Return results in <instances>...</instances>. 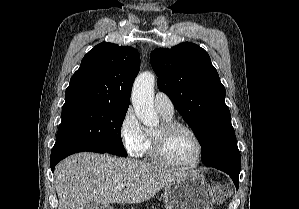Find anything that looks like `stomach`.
<instances>
[{"label": "stomach", "instance_id": "obj_1", "mask_svg": "<svg viewBox=\"0 0 299 209\" xmlns=\"http://www.w3.org/2000/svg\"><path fill=\"white\" fill-rule=\"evenodd\" d=\"M166 209H213L214 198L203 175L190 173L163 192Z\"/></svg>", "mask_w": 299, "mask_h": 209}]
</instances>
